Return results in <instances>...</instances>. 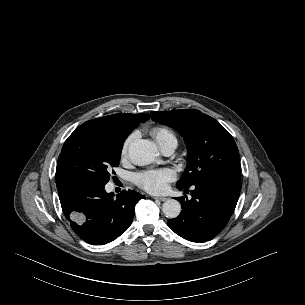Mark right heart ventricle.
Instances as JSON below:
<instances>
[{
  "instance_id": "obj_1",
  "label": "right heart ventricle",
  "mask_w": 305,
  "mask_h": 305,
  "mask_svg": "<svg viewBox=\"0 0 305 305\" xmlns=\"http://www.w3.org/2000/svg\"><path fill=\"white\" fill-rule=\"evenodd\" d=\"M152 134L160 148L168 143H175L177 145L175 133L168 128L155 127L152 130Z\"/></svg>"
}]
</instances>
